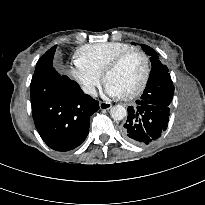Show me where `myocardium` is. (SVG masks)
Returning a JSON list of instances; mask_svg holds the SVG:
<instances>
[{
  "label": "myocardium",
  "instance_id": "f54148a6",
  "mask_svg": "<svg viewBox=\"0 0 205 205\" xmlns=\"http://www.w3.org/2000/svg\"><path fill=\"white\" fill-rule=\"evenodd\" d=\"M132 53H137L142 57L143 62H144V71H143L142 78H141L139 84L137 85V87L134 90H132L131 92H129L128 94L120 96L121 99H124V100H130V99L137 97L145 89V87L148 83L149 77H150V72H151V65H150L149 56L142 49L137 48V47H131L127 50L122 51L118 55H116L107 64V66L104 68L102 75H101L102 81L105 83L106 77L111 72H113L128 55H130Z\"/></svg>",
  "mask_w": 205,
  "mask_h": 205
}]
</instances>
